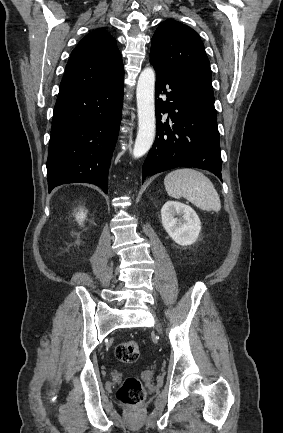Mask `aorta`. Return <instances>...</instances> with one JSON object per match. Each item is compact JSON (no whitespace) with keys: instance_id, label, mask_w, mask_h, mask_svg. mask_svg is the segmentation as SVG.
I'll return each instance as SVG.
<instances>
[{"instance_id":"aorta-1","label":"aorta","mask_w":283,"mask_h":433,"mask_svg":"<svg viewBox=\"0 0 283 433\" xmlns=\"http://www.w3.org/2000/svg\"><path fill=\"white\" fill-rule=\"evenodd\" d=\"M155 72L145 68L137 83L136 98L138 112V132L134 144L133 156L142 157L151 148L155 138Z\"/></svg>"}]
</instances>
